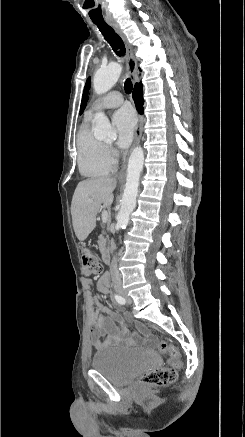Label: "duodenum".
Segmentation results:
<instances>
[{"instance_id":"1","label":"duodenum","mask_w":245,"mask_h":437,"mask_svg":"<svg viewBox=\"0 0 245 437\" xmlns=\"http://www.w3.org/2000/svg\"><path fill=\"white\" fill-rule=\"evenodd\" d=\"M102 258H103V261L105 263H108L110 261V254H109V251L106 248L102 249ZM103 276L105 278V281L108 282L109 281V275L107 273H105Z\"/></svg>"}]
</instances>
